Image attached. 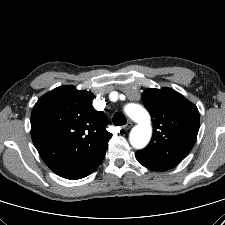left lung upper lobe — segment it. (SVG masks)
I'll list each match as a JSON object with an SVG mask.
<instances>
[{
  "instance_id": "left-lung-upper-lobe-1",
  "label": "left lung upper lobe",
  "mask_w": 225,
  "mask_h": 225,
  "mask_svg": "<svg viewBox=\"0 0 225 225\" xmlns=\"http://www.w3.org/2000/svg\"><path fill=\"white\" fill-rule=\"evenodd\" d=\"M142 101L154 131L149 145L136 155L162 169H172L194 146L200 126L198 109L170 88L147 89Z\"/></svg>"
}]
</instances>
